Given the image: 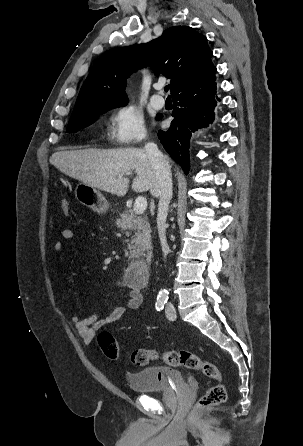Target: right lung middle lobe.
I'll return each instance as SVG.
<instances>
[{
	"instance_id": "right-lung-middle-lobe-1",
	"label": "right lung middle lobe",
	"mask_w": 303,
	"mask_h": 446,
	"mask_svg": "<svg viewBox=\"0 0 303 446\" xmlns=\"http://www.w3.org/2000/svg\"><path fill=\"white\" fill-rule=\"evenodd\" d=\"M115 107L118 106H112V105L101 106L85 113L72 115L68 123L66 132L71 133L79 131L80 129L92 124L95 121L94 117Z\"/></svg>"
}]
</instances>
